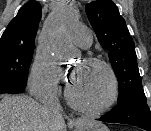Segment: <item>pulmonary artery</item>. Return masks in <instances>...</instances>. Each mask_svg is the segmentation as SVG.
<instances>
[{"label":"pulmonary artery","mask_w":151,"mask_h":131,"mask_svg":"<svg viewBox=\"0 0 151 131\" xmlns=\"http://www.w3.org/2000/svg\"><path fill=\"white\" fill-rule=\"evenodd\" d=\"M73 42L81 47L88 48L92 44V33L84 27H76L72 33Z\"/></svg>","instance_id":"e3ab8cb5"}]
</instances>
